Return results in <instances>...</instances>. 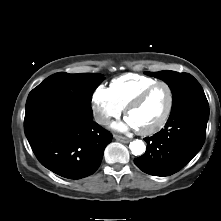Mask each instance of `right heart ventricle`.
Here are the masks:
<instances>
[{"mask_svg":"<svg viewBox=\"0 0 221 221\" xmlns=\"http://www.w3.org/2000/svg\"><path fill=\"white\" fill-rule=\"evenodd\" d=\"M155 82L157 80L152 77L139 74H125L111 81L110 91L117 104L121 109H124L142 90Z\"/></svg>","mask_w":221,"mask_h":221,"instance_id":"1","label":"right heart ventricle"}]
</instances>
